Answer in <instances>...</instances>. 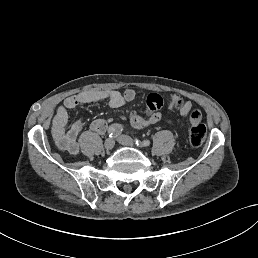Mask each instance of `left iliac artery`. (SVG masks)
<instances>
[{
	"instance_id": "44dca946",
	"label": "left iliac artery",
	"mask_w": 258,
	"mask_h": 258,
	"mask_svg": "<svg viewBox=\"0 0 258 258\" xmlns=\"http://www.w3.org/2000/svg\"><path fill=\"white\" fill-rule=\"evenodd\" d=\"M150 141L149 140H144V141H140L139 139H135V144L138 147H148L150 145Z\"/></svg>"
}]
</instances>
